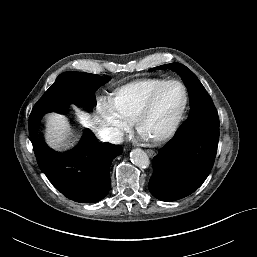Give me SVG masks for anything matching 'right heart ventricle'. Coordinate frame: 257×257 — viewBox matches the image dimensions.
<instances>
[{
  "instance_id": "e07e8e85",
  "label": "right heart ventricle",
  "mask_w": 257,
  "mask_h": 257,
  "mask_svg": "<svg viewBox=\"0 0 257 257\" xmlns=\"http://www.w3.org/2000/svg\"><path fill=\"white\" fill-rule=\"evenodd\" d=\"M165 81L161 78L132 81L117 89L113 100L121 114L130 120H134L151 93Z\"/></svg>"
}]
</instances>
